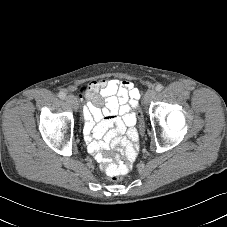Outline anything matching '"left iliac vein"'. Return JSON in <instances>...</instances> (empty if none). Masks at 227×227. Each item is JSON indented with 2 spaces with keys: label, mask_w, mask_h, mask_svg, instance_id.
<instances>
[{
  "label": "left iliac vein",
  "mask_w": 227,
  "mask_h": 227,
  "mask_svg": "<svg viewBox=\"0 0 227 227\" xmlns=\"http://www.w3.org/2000/svg\"><path fill=\"white\" fill-rule=\"evenodd\" d=\"M155 96H156V91L154 89L148 90L144 96V103L148 104Z\"/></svg>",
  "instance_id": "obj_1"
}]
</instances>
